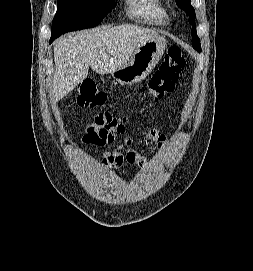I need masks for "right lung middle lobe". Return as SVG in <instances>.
<instances>
[{"label":"right lung middle lobe","mask_w":253,"mask_h":271,"mask_svg":"<svg viewBox=\"0 0 253 271\" xmlns=\"http://www.w3.org/2000/svg\"><path fill=\"white\" fill-rule=\"evenodd\" d=\"M115 7V0H57L51 38L69 31L97 26Z\"/></svg>","instance_id":"1"}]
</instances>
